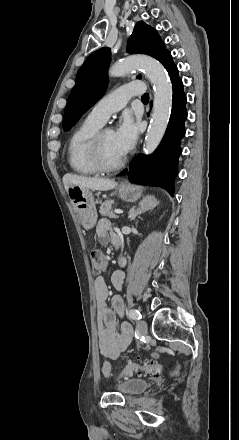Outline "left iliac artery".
I'll list each match as a JSON object with an SVG mask.
<instances>
[{
  "mask_svg": "<svg viewBox=\"0 0 239 440\" xmlns=\"http://www.w3.org/2000/svg\"><path fill=\"white\" fill-rule=\"evenodd\" d=\"M129 316L130 318H132L133 320H140L142 318L140 312L136 309H131L129 311Z\"/></svg>",
  "mask_w": 239,
  "mask_h": 440,
  "instance_id": "44dca946",
  "label": "left iliac artery"
}]
</instances>
